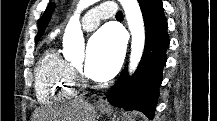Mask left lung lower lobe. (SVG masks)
Masks as SVG:
<instances>
[{
    "label": "left lung lower lobe",
    "instance_id": "obj_1",
    "mask_svg": "<svg viewBox=\"0 0 217 121\" xmlns=\"http://www.w3.org/2000/svg\"><path fill=\"white\" fill-rule=\"evenodd\" d=\"M145 24L146 44L139 66L128 78L127 70L120 75L107 95L108 101L127 110H139L149 119L154 117V108L162 83V70L169 47L167 20L161 0H138Z\"/></svg>",
    "mask_w": 217,
    "mask_h": 121
}]
</instances>
